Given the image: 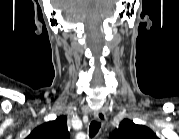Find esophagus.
<instances>
[{
    "instance_id": "obj_1",
    "label": "esophagus",
    "mask_w": 179,
    "mask_h": 139,
    "mask_svg": "<svg viewBox=\"0 0 179 139\" xmlns=\"http://www.w3.org/2000/svg\"><path fill=\"white\" fill-rule=\"evenodd\" d=\"M94 119L98 122L104 123L106 121V115L103 111H97L94 113Z\"/></svg>"
}]
</instances>
